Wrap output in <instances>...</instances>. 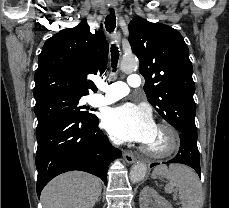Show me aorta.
Instances as JSON below:
<instances>
[{"label":"aorta","instance_id":"1","mask_svg":"<svg viewBox=\"0 0 229 208\" xmlns=\"http://www.w3.org/2000/svg\"><path fill=\"white\" fill-rule=\"evenodd\" d=\"M138 61L134 57H124L121 62V70L125 73H131L137 69ZM146 164L139 162L136 163L130 170V180L133 183L142 181L146 175Z\"/></svg>","mask_w":229,"mask_h":208}]
</instances>
